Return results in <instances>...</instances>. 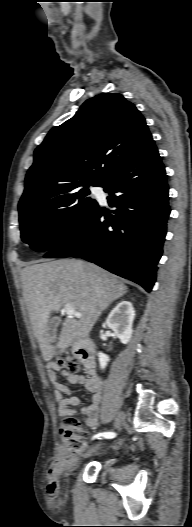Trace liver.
I'll list each match as a JSON object with an SVG mask.
<instances>
[{
	"label": "liver",
	"instance_id": "liver-1",
	"mask_svg": "<svg viewBox=\"0 0 192 527\" xmlns=\"http://www.w3.org/2000/svg\"><path fill=\"white\" fill-rule=\"evenodd\" d=\"M21 280L30 321L46 362L57 349L64 350L76 339L87 337L102 311L128 291L116 276L75 259L29 265L21 270ZM65 304L73 306L82 317L66 318L52 345L48 335L50 315Z\"/></svg>",
	"mask_w": 192,
	"mask_h": 527
}]
</instances>
